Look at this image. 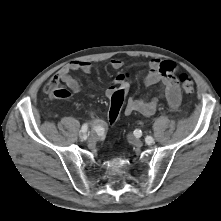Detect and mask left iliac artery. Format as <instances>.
<instances>
[{"mask_svg": "<svg viewBox=\"0 0 221 221\" xmlns=\"http://www.w3.org/2000/svg\"><path fill=\"white\" fill-rule=\"evenodd\" d=\"M140 132H141L140 130H137L136 134H139ZM145 142L149 145V144H151L153 142V138L151 136H147L145 138Z\"/></svg>", "mask_w": 221, "mask_h": 221, "instance_id": "44dca946", "label": "left iliac artery"}]
</instances>
